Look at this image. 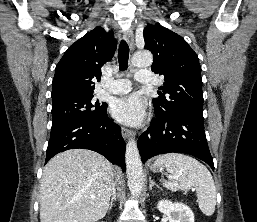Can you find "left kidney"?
<instances>
[{
    "label": "left kidney",
    "mask_w": 257,
    "mask_h": 222,
    "mask_svg": "<svg viewBox=\"0 0 257 222\" xmlns=\"http://www.w3.org/2000/svg\"><path fill=\"white\" fill-rule=\"evenodd\" d=\"M157 208L160 212L167 215L169 222H194L192 210L183 203L161 200L158 202Z\"/></svg>",
    "instance_id": "1"
}]
</instances>
